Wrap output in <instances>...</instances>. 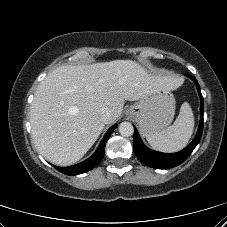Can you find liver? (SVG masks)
I'll list each match as a JSON object with an SVG mask.
<instances>
[{"label":"liver","instance_id":"liver-1","mask_svg":"<svg viewBox=\"0 0 227 227\" xmlns=\"http://www.w3.org/2000/svg\"><path fill=\"white\" fill-rule=\"evenodd\" d=\"M182 80L145 70L133 60L65 65L39 84L31 105L33 142L48 161L66 166L80 160L105 124L115 122L125 100H140L152 91L176 89ZM112 116L107 123L101 109Z\"/></svg>","mask_w":227,"mask_h":227}]
</instances>
